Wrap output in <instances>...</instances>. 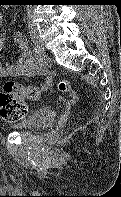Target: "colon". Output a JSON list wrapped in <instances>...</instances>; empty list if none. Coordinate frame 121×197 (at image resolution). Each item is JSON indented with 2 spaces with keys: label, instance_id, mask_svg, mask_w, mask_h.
Segmentation results:
<instances>
[{
  "label": "colon",
  "instance_id": "obj_1",
  "mask_svg": "<svg viewBox=\"0 0 121 197\" xmlns=\"http://www.w3.org/2000/svg\"><path fill=\"white\" fill-rule=\"evenodd\" d=\"M57 88L61 92H70L71 82L62 78L57 83ZM35 97L33 87L14 81H8L0 91V115L8 122L22 120L28 113L26 100Z\"/></svg>",
  "mask_w": 121,
  "mask_h": 197
}]
</instances>
